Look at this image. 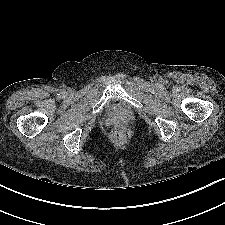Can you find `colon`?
<instances>
[{
  "label": "colon",
  "mask_w": 225,
  "mask_h": 225,
  "mask_svg": "<svg viewBox=\"0 0 225 225\" xmlns=\"http://www.w3.org/2000/svg\"><path fill=\"white\" fill-rule=\"evenodd\" d=\"M129 133L124 128H115L112 131V137L117 141L125 140L128 137Z\"/></svg>",
  "instance_id": "1"
}]
</instances>
